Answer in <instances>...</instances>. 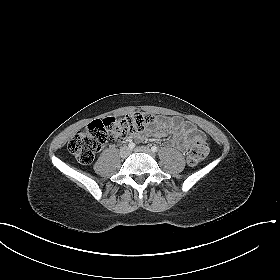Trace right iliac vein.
<instances>
[{"instance_id":"right-iliac-vein-1","label":"right iliac vein","mask_w":280,"mask_h":280,"mask_svg":"<svg viewBox=\"0 0 280 280\" xmlns=\"http://www.w3.org/2000/svg\"><path fill=\"white\" fill-rule=\"evenodd\" d=\"M130 149L128 147H122L121 150H120V156L122 158H126L129 154H130Z\"/></svg>"}]
</instances>
